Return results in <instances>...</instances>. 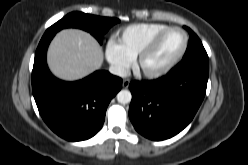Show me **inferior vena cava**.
<instances>
[{
	"label": "inferior vena cava",
	"mask_w": 248,
	"mask_h": 165,
	"mask_svg": "<svg viewBox=\"0 0 248 165\" xmlns=\"http://www.w3.org/2000/svg\"><path fill=\"white\" fill-rule=\"evenodd\" d=\"M109 72L122 78L127 77V70L122 66L112 65L109 67Z\"/></svg>",
	"instance_id": "1"
}]
</instances>
